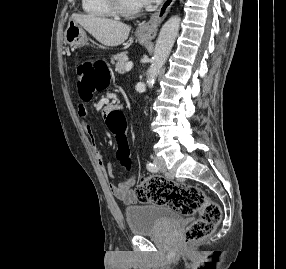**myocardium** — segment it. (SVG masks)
<instances>
[{
    "instance_id": "1",
    "label": "myocardium",
    "mask_w": 286,
    "mask_h": 269,
    "mask_svg": "<svg viewBox=\"0 0 286 269\" xmlns=\"http://www.w3.org/2000/svg\"><path fill=\"white\" fill-rule=\"evenodd\" d=\"M105 5L113 15L120 17H132L141 12L142 7L127 9L122 5L121 0H104Z\"/></svg>"
}]
</instances>
